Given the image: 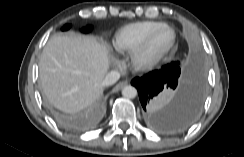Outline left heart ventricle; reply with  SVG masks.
<instances>
[{"mask_svg": "<svg viewBox=\"0 0 244 157\" xmlns=\"http://www.w3.org/2000/svg\"><path fill=\"white\" fill-rule=\"evenodd\" d=\"M171 38V32L169 30L160 31L152 40L148 53H153L162 48Z\"/></svg>", "mask_w": 244, "mask_h": 157, "instance_id": "b2bd125f", "label": "left heart ventricle"}]
</instances>
